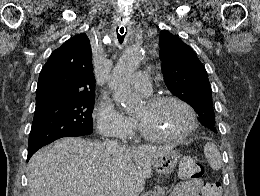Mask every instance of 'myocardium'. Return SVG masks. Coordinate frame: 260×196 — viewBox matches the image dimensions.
I'll use <instances>...</instances> for the list:
<instances>
[{"mask_svg":"<svg viewBox=\"0 0 260 196\" xmlns=\"http://www.w3.org/2000/svg\"><path fill=\"white\" fill-rule=\"evenodd\" d=\"M168 102H175L182 105L190 114V125L189 127L179 135H163L158 133H153L144 128L136 119L135 122L137 127L141 133V135L151 141L156 142H173V143H180L186 141L197 129L198 127V116L196 110L185 100L181 97L176 95H159L155 97H151L147 99L146 104L150 108L158 107L162 104Z\"/></svg>","mask_w":260,"mask_h":196,"instance_id":"obj_1","label":"myocardium"}]
</instances>
